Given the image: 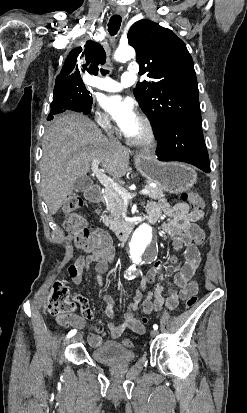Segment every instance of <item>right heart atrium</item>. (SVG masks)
Here are the masks:
<instances>
[{"mask_svg": "<svg viewBox=\"0 0 247 413\" xmlns=\"http://www.w3.org/2000/svg\"><path fill=\"white\" fill-rule=\"evenodd\" d=\"M93 111H94L95 113H98V112L100 111V108H99L98 106H95V107L93 108ZM100 124H101V127H102L106 132H108V131L110 130V126H109V124L106 122L105 117H102V118H101Z\"/></svg>", "mask_w": 247, "mask_h": 413, "instance_id": "right-heart-atrium-1", "label": "right heart atrium"}]
</instances>
